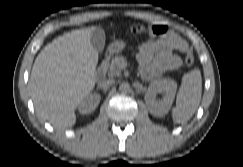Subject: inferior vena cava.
Here are the masks:
<instances>
[{"instance_id":"602c4592","label":"inferior vena cava","mask_w":243,"mask_h":167,"mask_svg":"<svg viewBox=\"0 0 243 167\" xmlns=\"http://www.w3.org/2000/svg\"><path fill=\"white\" fill-rule=\"evenodd\" d=\"M113 83H114V80H112V79L105 80V81L102 83V87H104V88H108V87L111 86Z\"/></svg>"}]
</instances>
